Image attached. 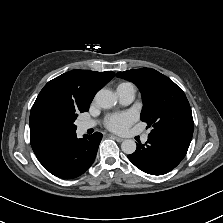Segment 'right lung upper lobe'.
<instances>
[{
  "label": "right lung upper lobe",
  "mask_w": 223,
  "mask_h": 223,
  "mask_svg": "<svg viewBox=\"0 0 223 223\" xmlns=\"http://www.w3.org/2000/svg\"><path fill=\"white\" fill-rule=\"evenodd\" d=\"M114 72L72 70L49 81L39 93L32 109L44 103H54L77 112H86L96 92L107 84ZM45 137L30 130L31 146L38 154L70 137Z\"/></svg>",
  "instance_id": "1"
}]
</instances>
